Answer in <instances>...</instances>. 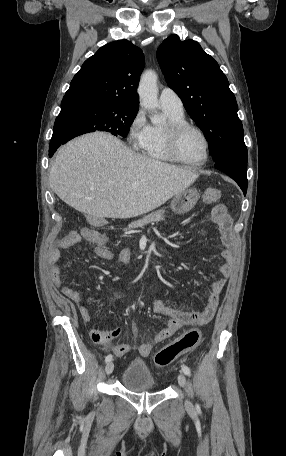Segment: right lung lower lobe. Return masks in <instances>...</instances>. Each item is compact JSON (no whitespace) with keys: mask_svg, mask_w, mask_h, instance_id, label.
Here are the masks:
<instances>
[{"mask_svg":"<svg viewBox=\"0 0 286 456\" xmlns=\"http://www.w3.org/2000/svg\"><path fill=\"white\" fill-rule=\"evenodd\" d=\"M73 97H68V98H63L62 103H61V112L56 118L55 125L54 127L57 126V124L61 121V118L64 116V104L67 103L70 99ZM62 144V141L56 140V135H55V130L53 131V136L50 142V147H49V157H52L54 152L57 150V148Z\"/></svg>","mask_w":286,"mask_h":456,"instance_id":"98d812e1","label":"right lung lower lobe"}]
</instances>
